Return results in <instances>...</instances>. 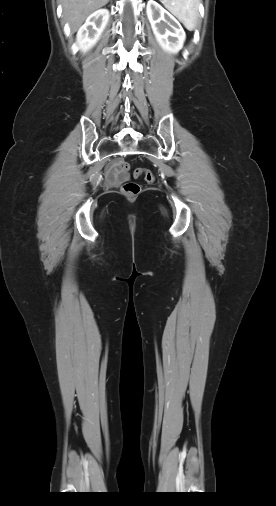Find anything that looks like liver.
Returning <instances> with one entry per match:
<instances>
[{"label":"liver","mask_w":276,"mask_h":506,"mask_svg":"<svg viewBox=\"0 0 276 506\" xmlns=\"http://www.w3.org/2000/svg\"><path fill=\"white\" fill-rule=\"evenodd\" d=\"M109 0H61L64 19L75 32L85 19L97 9L105 6Z\"/></svg>","instance_id":"1"}]
</instances>
